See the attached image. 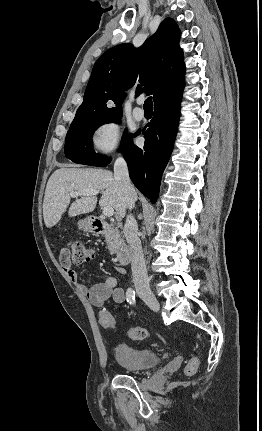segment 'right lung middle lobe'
<instances>
[{
	"label": "right lung middle lobe",
	"instance_id": "right-lung-middle-lobe-1",
	"mask_svg": "<svg viewBox=\"0 0 262 431\" xmlns=\"http://www.w3.org/2000/svg\"><path fill=\"white\" fill-rule=\"evenodd\" d=\"M121 116L104 119H78L73 120L65 140V155L67 158L78 164L91 166H105L111 159L96 154L93 150L92 135L94 131L104 123H120ZM132 137V134L125 132L122 138V147Z\"/></svg>",
	"mask_w": 262,
	"mask_h": 431
}]
</instances>
